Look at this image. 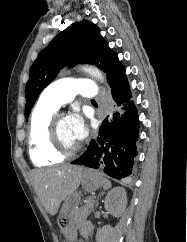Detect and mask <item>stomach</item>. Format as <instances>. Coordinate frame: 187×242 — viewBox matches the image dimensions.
<instances>
[{"label": "stomach", "instance_id": "obj_1", "mask_svg": "<svg viewBox=\"0 0 187 242\" xmlns=\"http://www.w3.org/2000/svg\"><path fill=\"white\" fill-rule=\"evenodd\" d=\"M80 183L86 192H93L103 186V177L99 171L85 169L82 173ZM80 203V195L77 192L72 193L65 198L57 218V224L68 242L74 240L77 228L83 220L78 215Z\"/></svg>", "mask_w": 187, "mask_h": 242}]
</instances>
